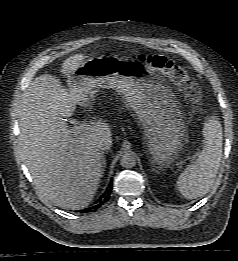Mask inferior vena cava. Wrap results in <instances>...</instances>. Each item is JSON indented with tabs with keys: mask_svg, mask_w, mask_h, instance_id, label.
<instances>
[{
	"mask_svg": "<svg viewBox=\"0 0 238 261\" xmlns=\"http://www.w3.org/2000/svg\"><path fill=\"white\" fill-rule=\"evenodd\" d=\"M110 147L109 144H104V143H101L99 146H98V149L101 153H103L104 151L108 150Z\"/></svg>",
	"mask_w": 238,
	"mask_h": 261,
	"instance_id": "inferior-vena-cava-1",
	"label": "inferior vena cava"
}]
</instances>
